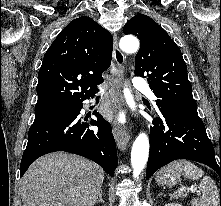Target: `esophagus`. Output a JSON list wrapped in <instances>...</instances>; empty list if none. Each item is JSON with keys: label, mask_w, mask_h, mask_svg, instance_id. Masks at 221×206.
Instances as JSON below:
<instances>
[{"label": "esophagus", "mask_w": 221, "mask_h": 206, "mask_svg": "<svg viewBox=\"0 0 221 206\" xmlns=\"http://www.w3.org/2000/svg\"><path fill=\"white\" fill-rule=\"evenodd\" d=\"M113 71L114 76L110 81V91L113 97L114 104L117 108L123 106V100L120 93L121 88V77L123 75L125 56L118 47V38L114 34V43H113ZM113 134L117 142V146L121 151H125L128 142L130 140V131L128 128H122L119 126H114Z\"/></svg>", "instance_id": "esophagus-1"}]
</instances>
